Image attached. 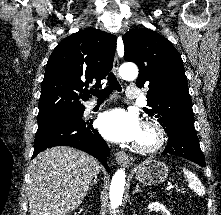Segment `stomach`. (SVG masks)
<instances>
[{"label":"stomach","mask_w":221,"mask_h":215,"mask_svg":"<svg viewBox=\"0 0 221 215\" xmlns=\"http://www.w3.org/2000/svg\"><path fill=\"white\" fill-rule=\"evenodd\" d=\"M167 175V165L157 160H147L136 169V179L144 185L160 184Z\"/></svg>","instance_id":"stomach-1"}]
</instances>
